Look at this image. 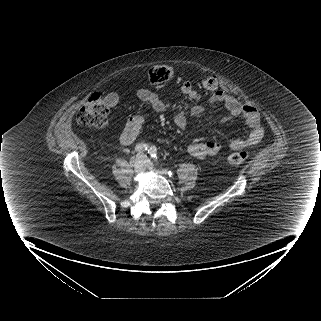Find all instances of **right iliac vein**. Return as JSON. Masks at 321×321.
<instances>
[{"mask_svg": "<svg viewBox=\"0 0 321 321\" xmlns=\"http://www.w3.org/2000/svg\"><path fill=\"white\" fill-rule=\"evenodd\" d=\"M130 162L133 164L136 174H141L145 171V161L142 157L133 158Z\"/></svg>", "mask_w": 321, "mask_h": 321, "instance_id": "1", "label": "right iliac vein"}]
</instances>
